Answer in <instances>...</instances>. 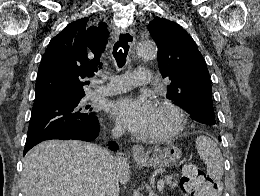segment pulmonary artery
<instances>
[{"instance_id":"1","label":"pulmonary artery","mask_w":260,"mask_h":196,"mask_svg":"<svg viewBox=\"0 0 260 196\" xmlns=\"http://www.w3.org/2000/svg\"><path fill=\"white\" fill-rule=\"evenodd\" d=\"M152 77L153 72L151 69H133V72H127L126 76H114V79H112V81H109L108 86L96 89L93 92V95L105 96L120 93L126 90H134V85L123 84H150Z\"/></svg>"}]
</instances>
